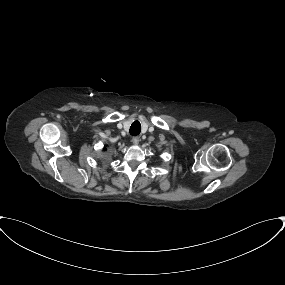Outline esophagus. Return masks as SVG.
<instances>
[{"mask_svg": "<svg viewBox=\"0 0 285 285\" xmlns=\"http://www.w3.org/2000/svg\"><path fill=\"white\" fill-rule=\"evenodd\" d=\"M139 141H140L139 137H133L132 138V142H133L134 145H138Z\"/></svg>", "mask_w": 285, "mask_h": 285, "instance_id": "esophagus-1", "label": "esophagus"}]
</instances>
